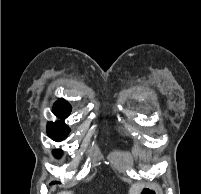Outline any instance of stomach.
Instances as JSON below:
<instances>
[{"label": "stomach", "mask_w": 201, "mask_h": 194, "mask_svg": "<svg viewBox=\"0 0 201 194\" xmlns=\"http://www.w3.org/2000/svg\"><path fill=\"white\" fill-rule=\"evenodd\" d=\"M139 194H158V188L155 185L143 186Z\"/></svg>", "instance_id": "stomach-1"}]
</instances>
